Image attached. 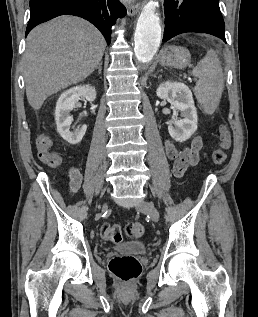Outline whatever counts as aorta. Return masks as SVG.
<instances>
[{
  "label": "aorta",
  "mask_w": 258,
  "mask_h": 317,
  "mask_svg": "<svg viewBox=\"0 0 258 317\" xmlns=\"http://www.w3.org/2000/svg\"><path fill=\"white\" fill-rule=\"evenodd\" d=\"M161 23L153 0L146 3L137 21L134 52L141 63H149L161 42Z\"/></svg>",
  "instance_id": "762f6f07"
}]
</instances>
